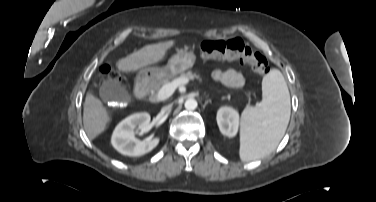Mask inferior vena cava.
<instances>
[{"mask_svg":"<svg viewBox=\"0 0 376 202\" xmlns=\"http://www.w3.org/2000/svg\"><path fill=\"white\" fill-rule=\"evenodd\" d=\"M169 109H170V106H165V107H163L162 111H163V112H166V111H168Z\"/></svg>","mask_w":376,"mask_h":202,"instance_id":"obj_1","label":"inferior vena cava"}]
</instances>
